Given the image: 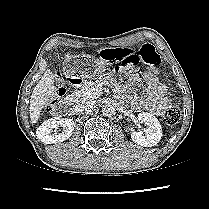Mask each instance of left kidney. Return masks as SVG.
<instances>
[{
    "instance_id": "left-kidney-1",
    "label": "left kidney",
    "mask_w": 209,
    "mask_h": 209,
    "mask_svg": "<svg viewBox=\"0 0 209 209\" xmlns=\"http://www.w3.org/2000/svg\"><path fill=\"white\" fill-rule=\"evenodd\" d=\"M138 120L147 126L144 130L145 136L134 131L131 133L132 141L144 147L156 145L162 137V127L158 119L150 113H139Z\"/></svg>"
}]
</instances>
